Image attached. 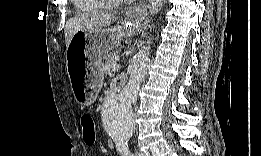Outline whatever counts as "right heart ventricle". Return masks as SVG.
Returning a JSON list of instances; mask_svg holds the SVG:
<instances>
[{
	"mask_svg": "<svg viewBox=\"0 0 261 156\" xmlns=\"http://www.w3.org/2000/svg\"><path fill=\"white\" fill-rule=\"evenodd\" d=\"M88 2H91L89 0H78L77 1V4H83V3H88ZM93 8V6H91Z\"/></svg>",
	"mask_w": 261,
	"mask_h": 156,
	"instance_id": "right-heart-ventricle-1",
	"label": "right heart ventricle"
}]
</instances>
